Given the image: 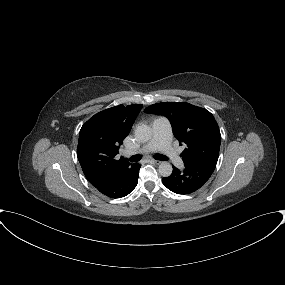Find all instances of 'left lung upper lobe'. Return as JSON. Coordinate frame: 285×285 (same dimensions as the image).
<instances>
[{
	"instance_id": "1",
	"label": "left lung upper lobe",
	"mask_w": 285,
	"mask_h": 285,
	"mask_svg": "<svg viewBox=\"0 0 285 285\" xmlns=\"http://www.w3.org/2000/svg\"><path fill=\"white\" fill-rule=\"evenodd\" d=\"M166 116L173 134L186 144L182 152L184 165L211 163L216 165L219 157L221 134L213 115L206 109L185 102H163L150 105L144 110Z\"/></svg>"
}]
</instances>
